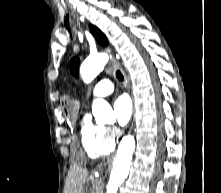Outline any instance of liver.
<instances>
[{"mask_svg":"<svg viewBox=\"0 0 221 193\" xmlns=\"http://www.w3.org/2000/svg\"><path fill=\"white\" fill-rule=\"evenodd\" d=\"M88 172L82 167H74L69 173V192L68 193H81L83 186L87 180Z\"/></svg>","mask_w":221,"mask_h":193,"instance_id":"6515ba94","label":"liver"}]
</instances>
